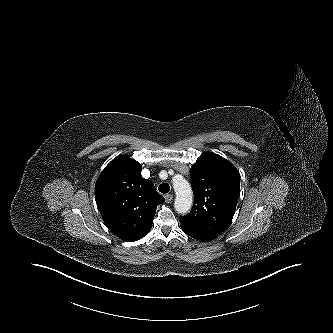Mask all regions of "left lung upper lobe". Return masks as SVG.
<instances>
[{"label":"left lung upper lobe","mask_w":333,"mask_h":333,"mask_svg":"<svg viewBox=\"0 0 333 333\" xmlns=\"http://www.w3.org/2000/svg\"><path fill=\"white\" fill-rule=\"evenodd\" d=\"M194 204L180 217L181 227L209 240L218 237L231 222L240 196V174L220 155L204 153L191 167Z\"/></svg>","instance_id":"obj_1"}]
</instances>
